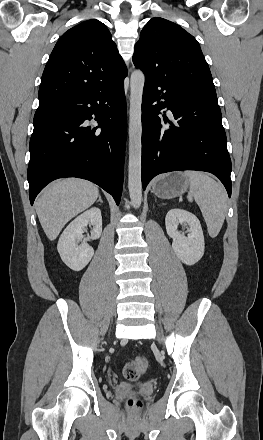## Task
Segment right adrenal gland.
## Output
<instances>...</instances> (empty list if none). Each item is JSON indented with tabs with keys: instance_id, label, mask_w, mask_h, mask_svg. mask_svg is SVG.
Wrapping results in <instances>:
<instances>
[{
	"instance_id": "obj_1",
	"label": "right adrenal gland",
	"mask_w": 263,
	"mask_h": 440,
	"mask_svg": "<svg viewBox=\"0 0 263 440\" xmlns=\"http://www.w3.org/2000/svg\"><path fill=\"white\" fill-rule=\"evenodd\" d=\"M97 202H101V203H103V201H102L101 197H99V199H98V201H97Z\"/></svg>"
}]
</instances>
